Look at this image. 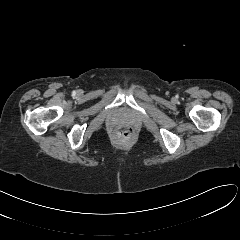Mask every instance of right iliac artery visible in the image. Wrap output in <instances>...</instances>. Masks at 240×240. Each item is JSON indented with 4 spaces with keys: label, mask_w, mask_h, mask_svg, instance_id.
Instances as JSON below:
<instances>
[{
    "label": "right iliac artery",
    "mask_w": 240,
    "mask_h": 240,
    "mask_svg": "<svg viewBox=\"0 0 240 240\" xmlns=\"http://www.w3.org/2000/svg\"><path fill=\"white\" fill-rule=\"evenodd\" d=\"M76 94V92L75 91H73V95H75Z\"/></svg>",
    "instance_id": "1"
}]
</instances>
